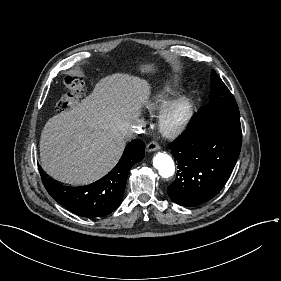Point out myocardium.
<instances>
[{
	"label": "myocardium",
	"mask_w": 281,
	"mask_h": 281,
	"mask_svg": "<svg viewBox=\"0 0 281 281\" xmlns=\"http://www.w3.org/2000/svg\"><path fill=\"white\" fill-rule=\"evenodd\" d=\"M178 117H174L176 112ZM194 115V103L187 95L170 101L157 116V129L162 137L172 140L180 136L190 124Z\"/></svg>",
	"instance_id": "obj_1"
}]
</instances>
